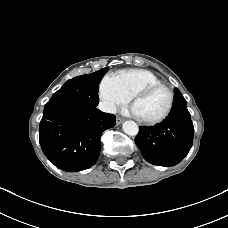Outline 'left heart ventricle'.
Returning a JSON list of instances; mask_svg holds the SVG:
<instances>
[{
    "instance_id": "b2bd125f",
    "label": "left heart ventricle",
    "mask_w": 228,
    "mask_h": 228,
    "mask_svg": "<svg viewBox=\"0 0 228 228\" xmlns=\"http://www.w3.org/2000/svg\"><path fill=\"white\" fill-rule=\"evenodd\" d=\"M169 100L168 91L160 88L139 99L134 106L139 117L152 119L160 116L166 110Z\"/></svg>"
}]
</instances>
